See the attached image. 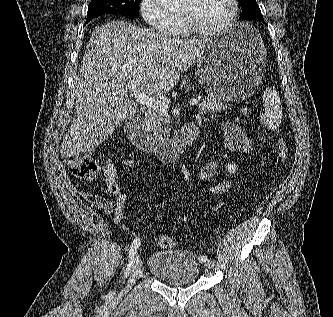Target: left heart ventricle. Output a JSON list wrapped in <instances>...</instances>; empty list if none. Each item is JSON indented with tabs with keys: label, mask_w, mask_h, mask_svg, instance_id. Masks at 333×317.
Here are the masks:
<instances>
[{
	"label": "left heart ventricle",
	"mask_w": 333,
	"mask_h": 317,
	"mask_svg": "<svg viewBox=\"0 0 333 317\" xmlns=\"http://www.w3.org/2000/svg\"><path fill=\"white\" fill-rule=\"evenodd\" d=\"M230 11V0H183L179 8V14L188 15L201 27L221 23Z\"/></svg>",
	"instance_id": "left-heart-ventricle-1"
}]
</instances>
